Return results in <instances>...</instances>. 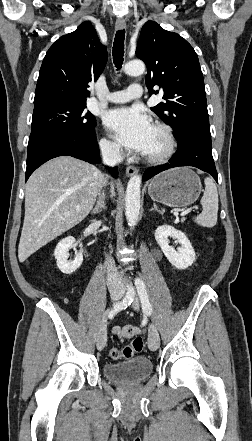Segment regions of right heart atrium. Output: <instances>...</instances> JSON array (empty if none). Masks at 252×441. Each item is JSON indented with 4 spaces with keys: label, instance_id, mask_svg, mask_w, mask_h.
Wrapping results in <instances>:
<instances>
[{
    "label": "right heart atrium",
    "instance_id": "right-heart-atrium-1",
    "mask_svg": "<svg viewBox=\"0 0 252 441\" xmlns=\"http://www.w3.org/2000/svg\"><path fill=\"white\" fill-rule=\"evenodd\" d=\"M100 147H101L102 152L106 156H109L112 158H119L123 154V151H122L121 147L119 146V144H117L116 142H114L106 137H103L100 140Z\"/></svg>",
    "mask_w": 252,
    "mask_h": 441
}]
</instances>
